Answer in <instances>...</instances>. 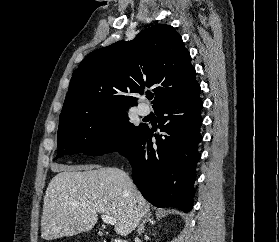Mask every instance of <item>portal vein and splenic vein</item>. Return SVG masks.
<instances>
[{"mask_svg":"<svg viewBox=\"0 0 279 242\" xmlns=\"http://www.w3.org/2000/svg\"><path fill=\"white\" fill-rule=\"evenodd\" d=\"M101 219L103 220L104 223H107V224H110V225H115L116 224V219L111 217L110 215L102 214Z\"/></svg>","mask_w":279,"mask_h":242,"instance_id":"portal-vein-and-splenic-vein-1","label":"portal vein and splenic vein"}]
</instances>
